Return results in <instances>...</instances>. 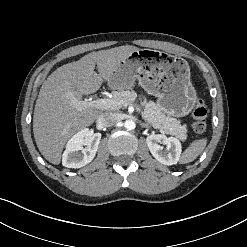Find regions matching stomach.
I'll list each match as a JSON object with an SVG mask.
<instances>
[{
	"label": "stomach",
	"instance_id": "stomach-1",
	"mask_svg": "<svg viewBox=\"0 0 247 247\" xmlns=\"http://www.w3.org/2000/svg\"><path fill=\"white\" fill-rule=\"evenodd\" d=\"M135 81L158 98L162 112L177 118L188 115L196 102L197 94L190 80L186 61L165 52L139 49L123 60L108 84L115 90L130 89Z\"/></svg>",
	"mask_w": 247,
	"mask_h": 247
}]
</instances>
